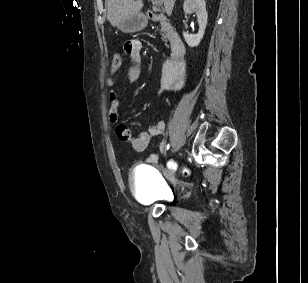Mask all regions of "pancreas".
<instances>
[{
	"mask_svg": "<svg viewBox=\"0 0 308 283\" xmlns=\"http://www.w3.org/2000/svg\"><path fill=\"white\" fill-rule=\"evenodd\" d=\"M160 32H161V35H162L164 41L167 42V40L169 38V28L163 22H161V30H160Z\"/></svg>",
	"mask_w": 308,
	"mask_h": 283,
	"instance_id": "pancreas-1",
	"label": "pancreas"
}]
</instances>
